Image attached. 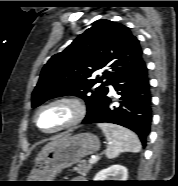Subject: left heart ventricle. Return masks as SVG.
Returning a JSON list of instances; mask_svg holds the SVG:
<instances>
[{"mask_svg": "<svg viewBox=\"0 0 178 186\" xmlns=\"http://www.w3.org/2000/svg\"><path fill=\"white\" fill-rule=\"evenodd\" d=\"M72 116V109L66 104L44 108L38 114V124L44 130H53L65 124Z\"/></svg>", "mask_w": 178, "mask_h": 186, "instance_id": "b2bd125f", "label": "left heart ventricle"}]
</instances>
